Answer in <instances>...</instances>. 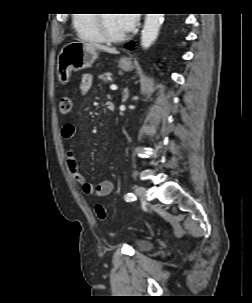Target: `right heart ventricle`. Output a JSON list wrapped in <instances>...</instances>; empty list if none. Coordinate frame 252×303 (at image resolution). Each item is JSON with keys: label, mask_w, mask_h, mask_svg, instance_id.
<instances>
[{"label": "right heart ventricle", "mask_w": 252, "mask_h": 303, "mask_svg": "<svg viewBox=\"0 0 252 303\" xmlns=\"http://www.w3.org/2000/svg\"><path fill=\"white\" fill-rule=\"evenodd\" d=\"M78 34L92 42H103L104 37L101 33L97 14H78L73 20Z\"/></svg>", "instance_id": "right-heart-ventricle-1"}]
</instances>
